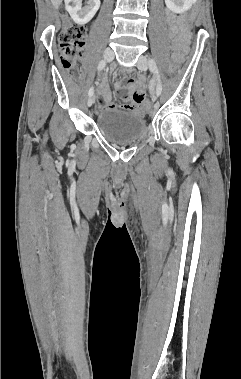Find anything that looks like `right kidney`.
Segmentation results:
<instances>
[{"label":"right kidney","mask_w":241,"mask_h":379,"mask_svg":"<svg viewBox=\"0 0 241 379\" xmlns=\"http://www.w3.org/2000/svg\"><path fill=\"white\" fill-rule=\"evenodd\" d=\"M100 7V0H89L88 5L82 7V0H65V8L73 21L79 25L87 24Z\"/></svg>","instance_id":"1"}]
</instances>
